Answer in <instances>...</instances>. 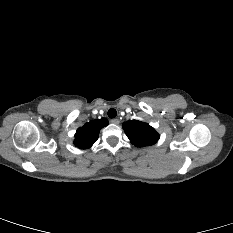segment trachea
Masks as SVG:
<instances>
[{"instance_id":"3493384b","label":"trachea","mask_w":233,"mask_h":233,"mask_svg":"<svg viewBox=\"0 0 233 233\" xmlns=\"http://www.w3.org/2000/svg\"><path fill=\"white\" fill-rule=\"evenodd\" d=\"M109 118H115L117 116V111L114 108L108 110Z\"/></svg>"}]
</instances>
